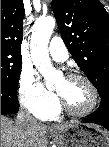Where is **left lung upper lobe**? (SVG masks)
Returning <instances> with one entry per match:
<instances>
[{
  "label": "left lung upper lobe",
  "mask_w": 109,
  "mask_h": 147,
  "mask_svg": "<svg viewBox=\"0 0 109 147\" xmlns=\"http://www.w3.org/2000/svg\"><path fill=\"white\" fill-rule=\"evenodd\" d=\"M60 33L100 97L109 94V14L98 0H53Z\"/></svg>",
  "instance_id": "5c2ea615"
}]
</instances>
